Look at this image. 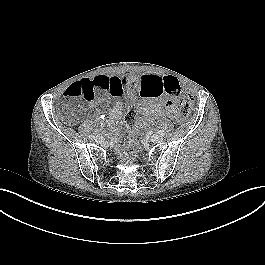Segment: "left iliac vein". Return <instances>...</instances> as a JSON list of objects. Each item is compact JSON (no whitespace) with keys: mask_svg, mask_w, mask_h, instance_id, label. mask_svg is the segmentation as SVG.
I'll use <instances>...</instances> for the list:
<instances>
[{"mask_svg":"<svg viewBox=\"0 0 265 265\" xmlns=\"http://www.w3.org/2000/svg\"><path fill=\"white\" fill-rule=\"evenodd\" d=\"M151 141L154 143H160L163 141V137L161 135L155 134L151 137Z\"/></svg>","mask_w":265,"mask_h":265,"instance_id":"4c4485c4","label":"left iliac vein"}]
</instances>
